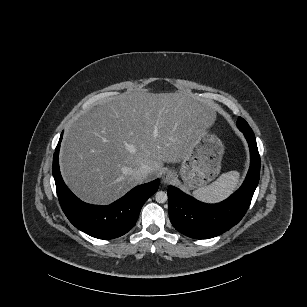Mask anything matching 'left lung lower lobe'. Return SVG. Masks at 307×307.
<instances>
[{"mask_svg":"<svg viewBox=\"0 0 307 307\" xmlns=\"http://www.w3.org/2000/svg\"><path fill=\"white\" fill-rule=\"evenodd\" d=\"M249 144L250 169L242 186L218 204H205L174 186L168 187L169 218L180 233L195 239H208L236 225L246 213L260 175V156L252 130L239 128Z\"/></svg>","mask_w":307,"mask_h":307,"instance_id":"0a47b994","label":"left lung lower lobe"}]
</instances>
